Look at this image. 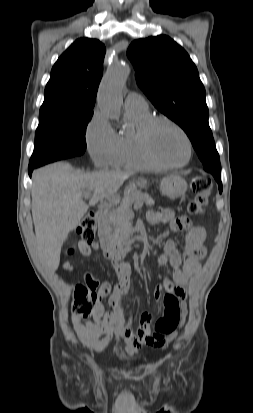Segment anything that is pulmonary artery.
<instances>
[{"mask_svg": "<svg viewBox=\"0 0 253 413\" xmlns=\"http://www.w3.org/2000/svg\"><path fill=\"white\" fill-rule=\"evenodd\" d=\"M126 110L132 111H146L148 110V104L146 100L138 93H129L124 102Z\"/></svg>", "mask_w": 253, "mask_h": 413, "instance_id": "e3ab8cb5", "label": "pulmonary artery"}]
</instances>
